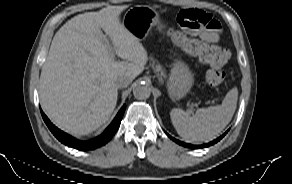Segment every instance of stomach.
I'll return each instance as SVG.
<instances>
[{"mask_svg": "<svg viewBox=\"0 0 292 184\" xmlns=\"http://www.w3.org/2000/svg\"><path fill=\"white\" fill-rule=\"evenodd\" d=\"M123 26L138 40L147 37L151 28L159 24L158 13L148 6L131 7L124 15ZM193 82V74L181 60H175L167 81L169 94L174 99L186 95Z\"/></svg>", "mask_w": 292, "mask_h": 184, "instance_id": "obj_1", "label": "stomach"}]
</instances>
